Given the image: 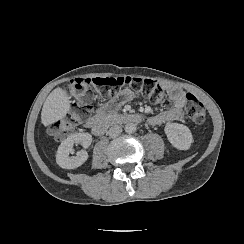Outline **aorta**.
I'll return each instance as SVG.
<instances>
[{
	"instance_id": "obj_1",
	"label": "aorta",
	"mask_w": 244,
	"mask_h": 244,
	"mask_svg": "<svg viewBox=\"0 0 244 244\" xmlns=\"http://www.w3.org/2000/svg\"><path fill=\"white\" fill-rule=\"evenodd\" d=\"M124 129H125V132L128 134L134 133L136 131V124L131 123V122L126 123Z\"/></svg>"
}]
</instances>
